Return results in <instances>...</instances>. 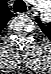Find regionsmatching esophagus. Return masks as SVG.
<instances>
[{
    "label": "esophagus",
    "mask_w": 51,
    "mask_h": 74,
    "mask_svg": "<svg viewBox=\"0 0 51 74\" xmlns=\"http://www.w3.org/2000/svg\"><path fill=\"white\" fill-rule=\"evenodd\" d=\"M27 13H28L29 15L35 16L36 11L33 10V9H30V10L27 11Z\"/></svg>",
    "instance_id": "obj_1"
}]
</instances>
